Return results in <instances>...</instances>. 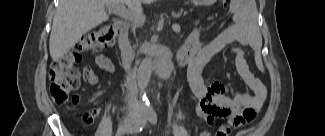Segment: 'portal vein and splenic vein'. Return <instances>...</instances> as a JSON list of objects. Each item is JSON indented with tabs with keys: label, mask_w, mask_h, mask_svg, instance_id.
<instances>
[{
	"label": "portal vein and splenic vein",
	"mask_w": 325,
	"mask_h": 136,
	"mask_svg": "<svg viewBox=\"0 0 325 136\" xmlns=\"http://www.w3.org/2000/svg\"><path fill=\"white\" fill-rule=\"evenodd\" d=\"M108 10L118 17L133 22L134 24H143L145 21V17L143 15L135 11L125 9L123 5H109ZM173 28L180 29V26L175 24Z\"/></svg>",
	"instance_id": "1"
}]
</instances>
